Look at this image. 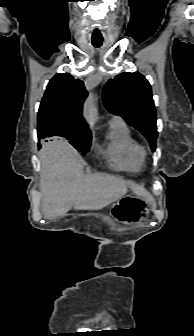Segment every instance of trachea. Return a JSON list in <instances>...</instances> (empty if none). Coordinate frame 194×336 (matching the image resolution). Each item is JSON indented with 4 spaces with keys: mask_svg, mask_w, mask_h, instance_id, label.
Wrapping results in <instances>:
<instances>
[{
    "mask_svg": "<svg viewBox=\"0 0 194 336\" xmlns=\"http://www.w3.org/2000/svg\"><path fill=\"white\" fill-rule=\"evenodd\" d=\"M92 45L95 47V48H99V47H101V45H102V40H100V41H92Z\"/></svg>",
    "mask_w": 194,
    "mask_h": 336,
    "instance_id": "3493384b",
    "label": "trachea"
}]
</instances>
